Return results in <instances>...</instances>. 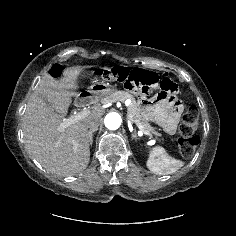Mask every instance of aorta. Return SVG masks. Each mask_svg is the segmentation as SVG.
Here are the masks:
<instances>
[{
	"label": "aorta",
	"mask_w": 236,
	"mask_h": 236,
	"mask_svg": "<svg viewBox=\"0 0 236 236\" xmlns=\"http://www.w3.org/2000/svg\"><path fill=\"white\" fill-rule=\"evenodd\" d=\"M122 122L121 116L116 112H111L106 115L104 123L109 130H116L120 127Z\"/></svg>",
	"instance_id": "1"
}]
</instances>
